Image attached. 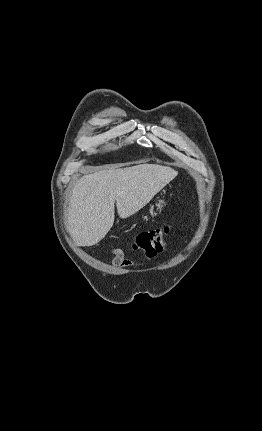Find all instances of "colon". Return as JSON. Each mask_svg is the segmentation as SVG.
I'll return each mask as SVG.
<instances>
[{
    "mask_svg": "<svg viewBox=\"0 0 262 431\" xmlns=\"http://www.w3.org/2000/svg\"><path fill=\"white\" fill-rule=\"evenodd\" d=\"M167 233V227L145 231L136 237L132 247L147 257H153L164 249Z\"/></svg>",
    "mask_w": 262,
    "mask_h": 431,
    "instance_id": "5ec220e1",
    "label": "colon"
}]
</instances>
